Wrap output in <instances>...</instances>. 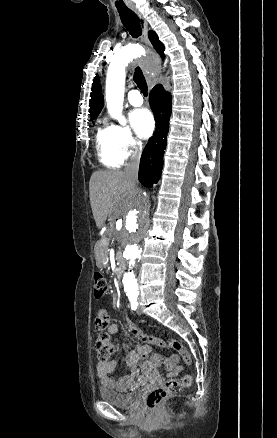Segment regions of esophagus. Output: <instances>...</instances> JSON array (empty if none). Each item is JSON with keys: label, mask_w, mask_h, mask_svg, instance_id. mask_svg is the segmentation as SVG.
Wrapping results in <instances>:
<instances>
[{"label": "esophagus", "mask_w": 277, "mask_h": 438, "mask_svg": "<svg viewBox=\"0 0 277 438\" xmlns=\"http://www.w3.org/2000/svg\"><path fill=\"white\" fill-rule=\"evenodd\" d=\"M129 8H130L134 13H136V15H137L138 18H139V22H140V26H141V30H142L141 41H142L143 43H145L147 46H149V45H150V41H149L148 36H147L148 25H147V22H146L144 16H143L142 13L138 10V8H136V7H129ZM151 53H153V50H152V49H149V50L147 51V55H146V57L150 56ZM144 60H145V58H142V59H141L142 62H143Z\"/></svg>", "instance_id": "1"}]
</instances>
